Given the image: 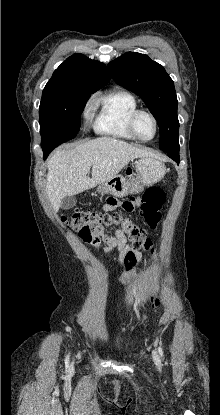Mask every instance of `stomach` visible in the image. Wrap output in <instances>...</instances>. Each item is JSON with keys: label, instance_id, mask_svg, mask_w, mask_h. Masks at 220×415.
<instances>
[{"label": "stomach", "instance_id": "stomach-1", "mask_svg": "<svg viewBox=\"0 0 220 415\" xmlns=\"http://www.w3.org/2000/svg\"><path fill=\"white\" fill-rule=\"evenodd\" d=\"M136 174L129 179L116 175L99 184L97 191L122 198L128 194L142 192L145 186L158 182L165 175V165L153 157H141L135 163Z\"/></svg>", "mask_w": 220, "mask_h": 415}]
</instances>
